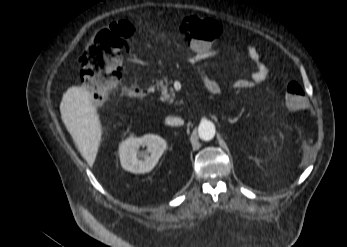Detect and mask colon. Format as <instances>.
I'll list each match as a JSON object with an SVG mask.
<instances>
[{
	"label": "colon",
	"instance_id": "1",
	"mask_svg": "<svg viewBox=\"0 0 347 247\" xmlns=\"http://www.w3.org/2000/svg\"><path fill=\"white\" fill-rule=\"evenodd\" d=\"M177 29L194 51L207 50L222 36V27L217 21L193 15L181 19ZM134 31L129 21H114L98 32L85 49L80 59V76L96 101H103L120 80L125 44ZM283 104L291 110L306 107L307 98L299 82L286 85Z\"/></svg>",
	"mask_w": 347,
	"mask_h": 247
}]
</instances>
